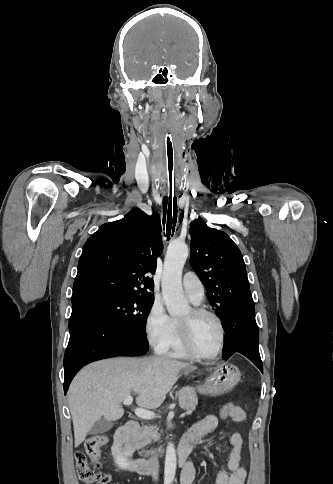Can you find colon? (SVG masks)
I'll use <instances>...</instances> for the list:
<instances>
[{
	"label": "colon",
	"mask_w": 333,
	"mask_h": 484,
	"mask_svg": "<svg viewBox=\"0 0 333 484\" xmlns=\"http://www.w3.org/2000/svg\"><path fill=\"white\" fill-rule=\"evenodd\" d=\"M232 403L222 406L220 415L227 417L236 407ZM106 435H96L88 438L84 444V451L75 454L78 477L84 483L89 484H107L109 475L103 473L99 464L101 449L107 444Z\"/></svg>",
	"instance_id": "5ec220e1"
}]
</instances>
